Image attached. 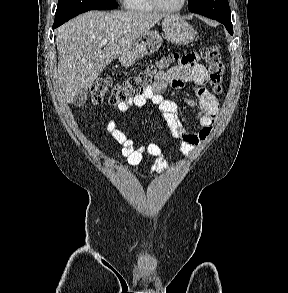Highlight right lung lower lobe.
<instances>
[{
    "label": "right lung lower lobe",
    "mask_w": 288,
    "mask_h": 293,
    "mask_svg": "<svg viewBox=\"0 0 288 293\" xmlns=\"http://www.w3.org/2000/svg\"><path fill=\"white\" fill-rule=\"evenodd\" d=\"M60 26V25H59ZM56 27H58V25H53V28H56Z\"/></svg>",
    "instance_id": "obj_1"
}]
</instances>
